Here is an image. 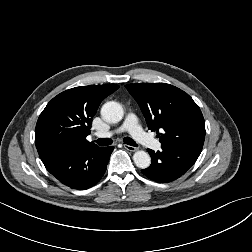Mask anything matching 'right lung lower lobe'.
Returning a JSON list of instances; mask_svg holds the SVG:
<instances>
[{
	"label": "right lung lower lobe",
	"instance_id": "1",
	"mask_svg": "<svg viewBox=\"0 0 252 252\" xmlns=\"http://www.w3.org/2000/svg\"><path fill=\"white\" fill-rule=\"evenodd\" d=\"M113 147L70 148L42 160L64 185L78 190L94 186L105 173Z\"/></svg>",
	"mask_w": 252,
	"mask_h": 252
}]
</instances>
